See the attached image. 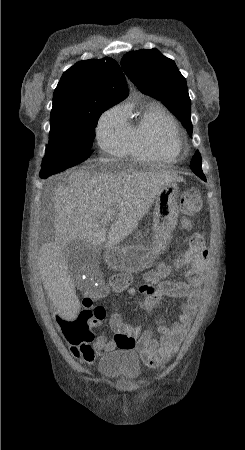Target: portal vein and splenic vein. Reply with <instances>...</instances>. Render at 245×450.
I'll use <instances>...</instances> for the list:
<instances>
[{"mask_svg": "<svg viewBox=\"0 0 245 450\" xmlns=\"http://www.w3.org/2000/svg\"><path fill=\"white\" fill-rule=\"evenodd\" d=\"M113 211L112 210H110L108 213H107V215L101 220V222L103 223V222H106V221H108V220H110L111 218H112V216H113Z\"/></svg>", "mask_w": 245, "mask_h": 450, "instance_id": "1", "label": "portal vein and splenic vein"}]
</instances>
